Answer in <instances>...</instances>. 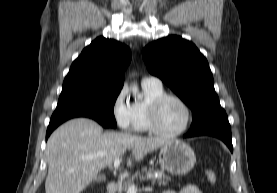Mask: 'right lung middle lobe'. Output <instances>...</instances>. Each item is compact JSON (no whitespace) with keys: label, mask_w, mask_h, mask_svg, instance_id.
I'll list each match as a JSON object with an SVG mask.
<instances>
[{"label":"right lung middle lobe","mask_w":277,"mask_h":193,"mask_svg":"<svg viewBox=\"0 0 277 193\" xmlns=\"http://www.w3.org/2000/svg\"><path fill=\"white\" fill-rule=\"evenodd\" d=\"M120 90L75 87L62 90L54 113L90 116L111 128L116 127L114 104Z\"/></svg>","instance_id":"dd1d6c3e"}]
</instances>
